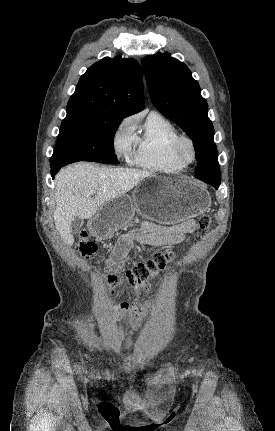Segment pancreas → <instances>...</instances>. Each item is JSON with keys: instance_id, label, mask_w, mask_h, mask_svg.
Masks as SVG:
<instances>
[{"instance_id": "obj_1", "label": "pancreas", "mask_w": 275, "mask_h": 431, "mask_svg": "<svg viewBox=\"0 0 275 431\" xmlns=\"http://www.w3.org/2000/svg\"><path fill=\"white\" fill-rule=\"evenodd\" d=\"M130 222H131V218H130V219H128V220L124 223V225H125V226H127Z\"/></svg>"}]
</instances>
